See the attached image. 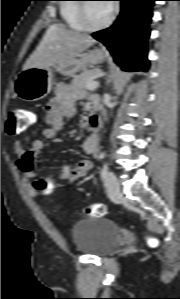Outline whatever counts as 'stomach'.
Wrapping results in <instances>:
<instances>
[{
    "mask_svg": "<svg viewBox=\"0 0 180 299\" xmlns=\"http://www.w3.org/2000/svg\"><path fill=\"white\" fill-rule=\"evenodd\" d=\"M105 58L106 55L102 50L93 49L53 67L23 69L15 80V92L24 101H38L51 91L54 71L64 76L74 77L78 72L85 70L87 66L102 63Z\"/></svg>",
    "mask_w": 180,
    "mask_h": 299,
    "instance_id": "stomach-1",
    "label": "stomach"
}]
</instances>
